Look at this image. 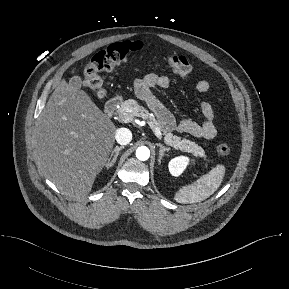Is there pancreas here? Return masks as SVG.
I'll return each instance as SVG.
<instances>
[{
	"label": "pancreas",
	"instance_id": "pancreas-1",
	"mask_svg": "<svg viewBox=\"0 0 289 289\" xmlns=\"http://www.w3.org/2000/svg\"><path fill=\"white\" fill-rule=\"evenodd\" d=\"M119 114H127L130 116L141 117L142 119H149L153 121L157 127L163 131L164 140L167 145L183 152L192 153L194 156L202 157L204 160H206L205 151L202 147L198 146V144L190 140L181 139V137L173 135L171 132L164 129L155 118L154 114L149 112L143 106L139 105L137 101L133 99L124 101L119 109Z\"/></svg>",
	"mask_w": 289,
	"mask_h": 289
}]
</instances>
